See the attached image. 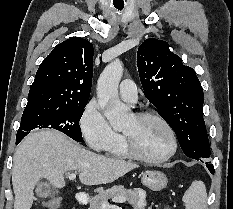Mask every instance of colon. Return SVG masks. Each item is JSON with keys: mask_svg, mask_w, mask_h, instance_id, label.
Returning a JSON list of instances; mask_svg holds the SVG:
<instances>
[{"mask_svg": "<svg viewBox=\"0 0 233 209\" xmlns=\"http://www.w3.org/2000/svg\"><path fill=\"white\" fill-rule=\"evenodd\" d=\"M43 207L45 209H59L60 199L58 197L50 198L43 202Z\"/></svg>", "mask_w": 233, "mask_h": 209, "instance_id": "obj_1", "label": "colon"}]
</instances>
